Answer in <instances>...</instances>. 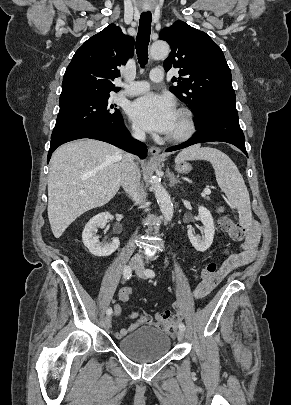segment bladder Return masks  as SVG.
<instances>
[{
    "mask_svg": "<svg viewBox=\"0 0 291 405\" xmlns=\"http://www.w3.org/2000/svg\"><path fill=\"white\" fill-rule=\"evenodd\" d=\"M171 340L163 331L150 327H140L117 342V348L130 360L152 363L160 360L170 350Z\"/></svg>",
    "mask_w": 291,
    "mask_h": 405,
    "instance_id": "obj_1",
    "label": "bladder"
}]
</instances>
